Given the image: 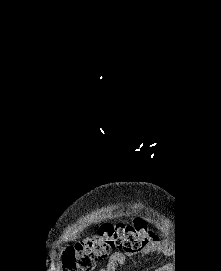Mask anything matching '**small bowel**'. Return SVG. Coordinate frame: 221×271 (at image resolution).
Instances as JSON below:
<instances>
[{
    "label": "small bowel",
    "instance_id": "1",
    "mask_svg": "<svg viewBox=\"0 0 221 271\" xmlns=\"http://www.w3.org/2000/svg\"><path fill=\"white\" fill-rule=\"evenodd\" d=\"M163 249V246L158 241H151L144 248L134 252H114L108 259L105 268L100 271H117V268L126 262L128 257L132 256H144L150 253L159 252ZM157 271H163L162 268Z\"/></svg>",
    "mask_w": 221,
    "mask_h": 271
}]
</instances>
